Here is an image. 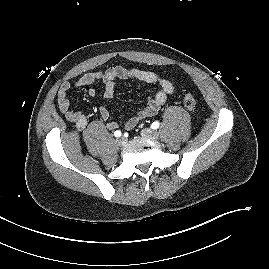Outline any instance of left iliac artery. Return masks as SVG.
<instances>
[{
	"label": "left iliac artery",
	"mask_w": 269,
	"mask_h": 269,
	"mask_svg": "<svg viewBox=\"0 0 269 269\" xmlns=\"http://www.w3.org/2000/svg\"><path fill=\"white\" fill-rule=\"evenodd\" d=\"M159 125H160V123L158 121H155L152 123L151 127H152V129H157V128H159Z\"/></svg>",
	"instance_id": "obj_1"
}]
</instances>
